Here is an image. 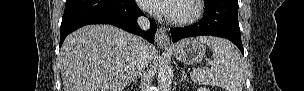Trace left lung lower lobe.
Masks as SVG:
<instances>
[{
    "label": "left lung lower lobe",
    "instance_id": "obj_1",
    "mask_svg": "<svg viewBox=\"0 0 304 91\" xmlns=\"http://www.w3.org/2000/svg\"><path fill=\"white\" fill-rule=\"evenodd\" d=\"M203 18L184 28L170 29L172 41L199 35H212L229 39L244 55L238 23V0H212L204 3Z\"/></svg>",
    "mask_w": 304,
    "mask_h": 91
}]
</instances>
